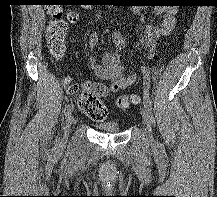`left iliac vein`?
<instances>
[{"label":"left iliac vein","mask_w":217,"mask_h":197,"mask_svg":"<svg viewBox=\"0 0 217 197\" xmlns=\"http://www.w3.org/2000/svg\"><path fill=\"white\" fill-rule=\"evenodd\" d=\"M141 115L144 119V123L146 124L147 130H148V137L151 143L154 142V138L152 135V129H151V118H150V111L148 108L144 105L141 108Z\"/></svg>","instance_id":"1"}]
</instances>
